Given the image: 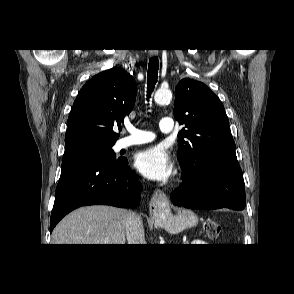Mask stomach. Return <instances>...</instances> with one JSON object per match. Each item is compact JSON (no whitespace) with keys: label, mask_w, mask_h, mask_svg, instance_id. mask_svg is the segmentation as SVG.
<instances>
[{"label":"stomach","mask_w":294,"mask_h":294,"mask_svg":"<svg viewBox=\"0 0 294 294\" xmlns=\"http://www.w3.org/2000/svg\"><path fill=\"white\" fill-rule=\"evenodd\" d=\"M159 225L170 233H178L196 225L197 216L190 210H182L173 214L170 210H163L159 215Z\"/></svg>","instance_id":"obj_1"}]
</instances>
